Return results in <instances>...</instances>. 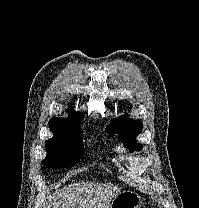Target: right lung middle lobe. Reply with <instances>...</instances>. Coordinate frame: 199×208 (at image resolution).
Here are the masks:
<instances>
[{
    "instance_id": "right-lung-middle-lobe-1",
    "label": "right lung middle lobe",
    "mask_w": 199,
    "mask_h": 208,
    "mask_svg": "<svg viewBox=\"0 0 199 208\" xmlns=\"http://www.w3.org/2000/svg\"><path fill=\"white\" fill-rule=\"evenodd\" d=\"M53 138L45 143L47 156L42 163L49 167L74 166L84 154L82 131L53 132Z\"/></svg>"
}]
</instances>
